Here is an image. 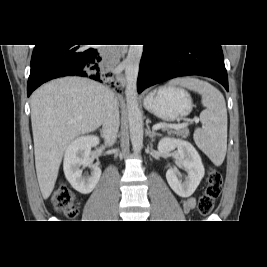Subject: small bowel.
Masks as SVG:
<instances>
[{"mask_svg":"<svg viewBox=\"0 0 267 267\" xmlns=\"http://www.w3.org/2000/svg\"><path fill=\"white\" fill-rule=\"evenodd\" d=\"M196 200L194 197L183 200L182 205L185 212H189L195 207Z\"/></svg>","mask_w":267,"mask_h":267,"instance_id":"c3829d8e","label":"small bowel"}]
</instances>
